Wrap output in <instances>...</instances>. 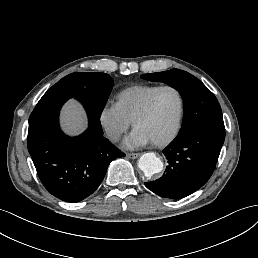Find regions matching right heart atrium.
Listing matches in <instances>:
<instances>
[{
    "mask_svg": "<svg viewBox=\"0 0 258 258\" xmlns=\"http://www.w3.org/2000/svg\"><path fill=\"white\" fill-rule=\"evenodd\" d=\"M99 122L104 132L112 139L126 132L130 122L115 104L104 106L99 115Z\"/></svg>",
    "mask_w": 258,
    "mask_h": 258,
    "instance_id": "d8ad5b80",
    "label": "right heart atrium"
}]
</instances>
